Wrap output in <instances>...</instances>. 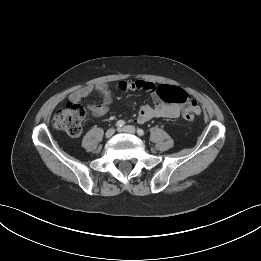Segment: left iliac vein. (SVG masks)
<instances>
[{
  "label": "left iliac vein",
  "mask_w": 261,
  "mask_h": 261,
  "mask_svg": "<svg viewBox=\"0 0 261 261\" xmlns=\"http://www.w3.org/2000/svg\"><path fill=\"white\" fill-rule=\"evenodd\" d=\"M120 131H123L125 133L134 134L136 132V129L134 126L127 125V126L123 127L122 129H120Z\"/></svg>",
  "instance_id": "obj_1"
}]
</instances>
